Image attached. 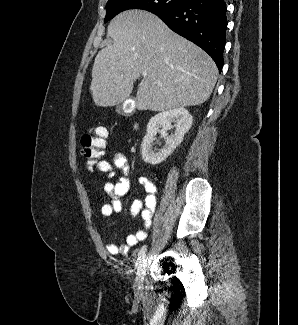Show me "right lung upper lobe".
Wrapping results in <instances>:
<instances>
[{
    "label": "right lung upper lobe",
    "mask_w": 298,
    "mask_h": 325,
    "mask_svg": "<svg viewBox=\"0 0 298 325\" xmlns=\"http://www.w3.org/2000/svg\"><path fill=\"white\" fill-rule=\"evenodd\" d=\"M110 1H113V0H109L108 2H110ZM158 12H160V11H158ZM158 12H156V13H158ZM155 14V13H154Z\"/></svg>",
    "instance_id": "obj_1"
}]
</instances>
